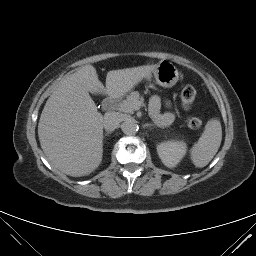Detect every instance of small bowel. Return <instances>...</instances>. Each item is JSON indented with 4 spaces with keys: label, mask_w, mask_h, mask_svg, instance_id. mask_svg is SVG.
<instances>
[{
    "label": "small bowel",
    "mask_w": 256,
    "mask_h": 256,
    "mask_svg": "<svg viewBox=\"0 0 256 256\" xmlns=\"http://www.w3.org/2000/svg\"><path fill=\"white\" fill-rule=\"evenodd\" d=\"M162 102L159 98L155 97L151 104V113L154 121L161 126L170 124L174 119V113L171 111H161Z\"/></svg>",
    "instance_id": "c3829d8e"
}]
</instances>
